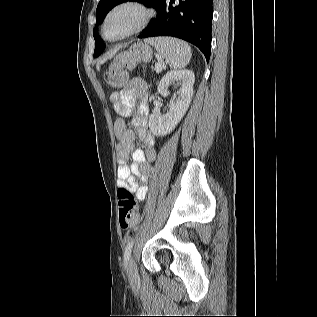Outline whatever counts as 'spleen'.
Instances as JSON below:
<instances>
[{"instance_id":"3e777b00","label":"spleen","mask_w":317,"mask_h":317,"mask_svg":"<svg viewBox=\"0 0 317 317\" xmlns=\"http://www.w3.org/2000/svg\"><path fill=\"white\" fill-rule=\"evenodd\" d=\"M153 45L166 63L173 69L184 68L190 61L192 53L190 46L172 37H157L145 40Z\"/></svg>"}]
</instances>
